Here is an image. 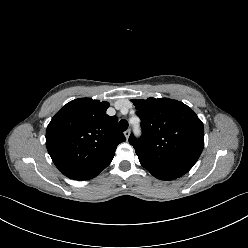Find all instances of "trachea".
<instances>
[{
	"label": "trachea",
	"instance_id": "3493384b",
	"mask_svg": "<svg viewBox=\"0 0 248 248\" xmlns=\"http://www.w3.org/2000/svg\"><path fill=\"white\" fill-rule=\"evenodd\" d=\"M118 125L121 131H126L128 128V122L125 119L120 120Z\"/></svg>",
	"mask_w": 248,
	"mask_h": 248
}]
</instances>
